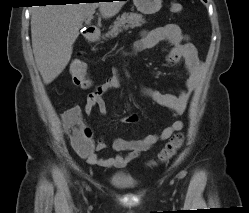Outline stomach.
<instances>
[{"label": "stomach", "mask_w": 249, "mask_h": 213, "mask_svg": "<svg viewBox=\"0 0 249 213\" xmlns=\"http://www.w3.org/2000/svg\"><path fill=\"white\" fill-rule=\"evenodd\" d=\"M138 11L143 14H154L162 7V0H133Z\"/></svg>", "instance_id": "obj_1"}]
</instances>
